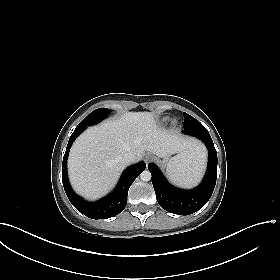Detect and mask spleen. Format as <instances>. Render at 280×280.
Segmentation results:
<instances>
[{"label": "spleen", "mask_w": 280, "mask_h": 280, "mask_svg": "<svg viewBox=\"0 0 280 280\" xmlns=\"http://www.w3.org/2000/svg\"><path fill=\"white\" fill-rule=\"evenodd\" d=\"M205 164V151L193 156L178 155L168 164L167 175L173 183L182 187H191L201 179Z\"/></svg>", "instance_id": "3e777b00"}]
</instances>
